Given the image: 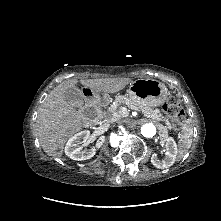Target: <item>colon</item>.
Instances as JSON below:
<instances>
[{"label": "colon", "mask_w": 221, "mask_h": 221, "mask_svg": "<svg viewBox=\"0 0 221 221\" xmlns=\"http://www.w3.org/2000/svg\"><path fill=\"white\" fill-rule=\"evenodd\" d=\"M162 110L171 118L174 119L176 127H180L185 119V112L182 109L179 101L174 98H168L162 105Z\"/></svg>", "instance_id": "obj_1"}]
</instances>
